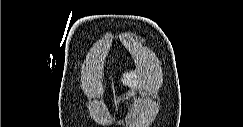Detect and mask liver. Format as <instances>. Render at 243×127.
Returning a JSON list of instances; mask_svg holds the SVG:
<instances>
[{
  "label": "liver",
  "instance_id": "6515ba94",
  "mask_svg": "<svg viewBox=\"0 0 243 127\" xmlns=\"http://www.w3.org/2000/svg\"><path fill=\"white\" fill-rule=\"evenodd\" d=\"M138 78V79H137ZM122 82L125 85H135L139 83V74L136 71H130L123 74Z\"/></svg>",
  "mask_w": 243,
  "mask_h": 127
}]
</instances>
